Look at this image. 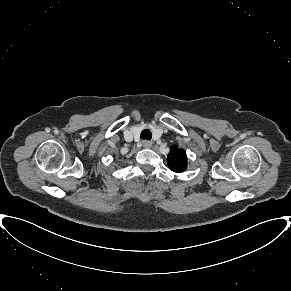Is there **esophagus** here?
<instances>
[{"instance_id": "1", "label": "esophagus", "mask_w": 291, "mask_h": 291, "mask_svg": "<svg viewBox=\"0 0 291 291\" xmlns=\"http://www.w3.org/2000/svg\"><path fill=\"white\" fill-rule=\"evenodd\" d=\"M142 144H143L144 148H151L152 147V142L148 141V140L143 141Z\"/></svg>"}]
</instances>
